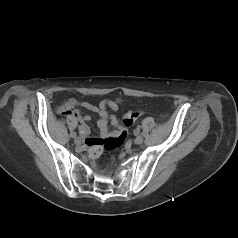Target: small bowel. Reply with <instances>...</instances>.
<instances>
[{"mask_svg":"<svg viewBox=\"0 0 238 238\" xmlns=\"http://www.w3.org/2000/svg\"><path fill=\"white\" fill-rule=\"evenodd\" d=\"M81 108L87 109L89 111L95 112L99 115V120L97 126L100 130L102 138H91L88 137L90 129L87 125V121L90 120L89 115H83L80 111ZM107 108L116 111L118 109V104L113 100H104L99 103V105H93L86 101H78L76 99H68L60 107L59 112L63 115L75 118L79 122V131L85 137V143L88 147H93L97 141L108 138L117 137L121 134L122 125L119 124L118 120L114 115H109ZM109 123L115 127V130H109Z\"/></svg>","mask_w":238,"mask_h":238,"instance_id":"obj_1","label":"small bowel"}]
</instances>
